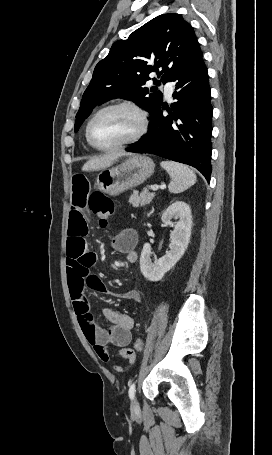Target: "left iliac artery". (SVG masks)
<instances>
[{
	"label": "left iliac artery",
	"instance_id": "obj_1",
	"mask_svg": "<svg viewBox=\"0 0 272 455\" xmlns=\"http://www.w3.org/2000/svg\"><path fill=\"white\" fill-rule=\"evenodd\" d=\"M135 383H132L129 388V397L130 399H134L135 396Z\"/></svg>",
	"mask_w": 272,
	"mask_h": 455
}]
</instances>
